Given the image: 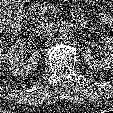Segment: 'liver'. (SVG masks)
Here are the masks:
<instances>
[{
    "mask_svg": "<svg viewBox=\"0 0 113 113\" xmlns=\"http://www.w3.org/2000/svg\"><path fill=\"white\" fill-rule=\"evenodd\" d=\"M1 18H2V15H1V9H0V33L7 27V22L5 21V19H1ZM0 44H2L1 40H0ZM2 51L3 49L1 48L0 49V68H1V63L3 62L2 60L4 58H8V55L1 54Z\"/></svg>",
    "mask_w": 113,
    "mask_h": 113,
    "instance_id": "6515ba94",
    "label": "liver"
}]
</instances>
